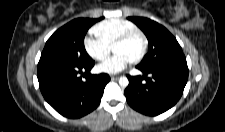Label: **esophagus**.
<instances>
[{
    "label": "esophagus",
    "mask_w": 225,
    "mask_h": 132,
    "mask_svg": "<svg viewBox=\"0 0 225 132\" xmlns=\"http://www.w3.org/2000/svg\"><path fill=\"white\" fill-rule=\"evenodd\" d=\"M120 77V75H111V80H116Z\"/></svg>",
    "instance_id": "esophagus-1"
}]
</instances>
